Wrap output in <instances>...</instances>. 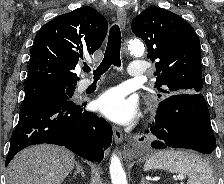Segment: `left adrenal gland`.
I'll use <instances>...</instances> for the list:
<instances>
[{
	"instance_id": "left-adrenal-gland-1",
	"label": "left adrenal gland",
	"mask_w": 224,
	"mask_h": 184,
	"mask_svg": "<svg viewBox=\"0 0 224 184\" xmlns=\"http://www.w3.org/2000/svg\"><path fill=\"white\" fill-rule=\"evenodd\" d=\"M140 184H149V183L147 181H145L144 177H142Z\"/></svg>"
}]
</instances>
